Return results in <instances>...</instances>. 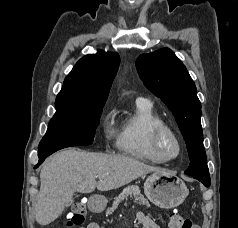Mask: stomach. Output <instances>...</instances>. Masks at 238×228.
<instances>
[{"label": "stomach", "instance_id": "stomach-1", "mask_svg": "<svg viewBox=\"0 0 238 228\" xmlns=\"http://www.w3.org/2000/svg\"><path fill=\"white\" fill-rule=\"evenodd\" d=\"M144 193L154 205L170 209L179 206L189 191L185 183L174 173L162 171L154 172L146 179ZM106 204V199L98 197L92 199L89 205L93 211H101Z\"/></svg>", "mask_w": 238, "mask_h": 228}]
</instances>
